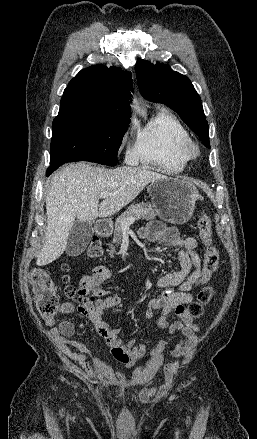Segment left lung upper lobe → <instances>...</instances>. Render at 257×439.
I'll return each mask as SVG.
<instances>
[{
    "label": "left lung upper lobe",
    "instance_id": "1",
    "mask_svg": "<svg viewBox=\"0 0 257 439\" xmlns=\"http://www.w3.org/2000/svg\"><path fill=\"white\" fill-rule=\"evenodd\" d=\"M135 71L142 96L151 102L163 103L177 112L203 144L210 148L209 127L201 99L189 78L171 70L168 65H154L142 59L137 61Z\"/></svg>",
    "mask_w": 257,
    "mask_h": 439
}]
</instances>
